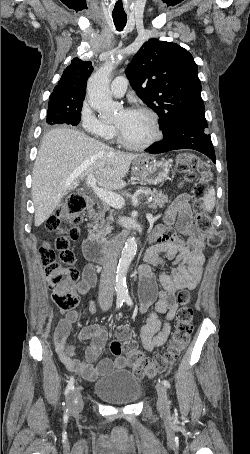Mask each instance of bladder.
<instances>
[{"label": "bladder", "mask_w": 250, "mask_h": 454, "mask_svg": "<svg viewBox=\"0 0 250 454\" xmlns=\"http://www.w3.org/2000/svg\"><path fill=\"white\" fill-rule=\"evenodd\" d=\"M142 383L132 372L121 369L97 379L93 384L94 394L112 405H129L142 395Z\"/></svg>", "instance_id": "obj_1"}]
</instances>
